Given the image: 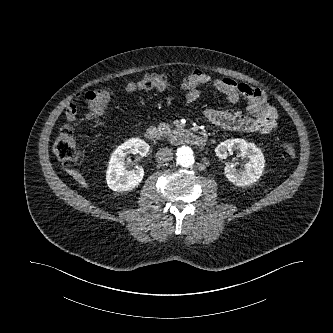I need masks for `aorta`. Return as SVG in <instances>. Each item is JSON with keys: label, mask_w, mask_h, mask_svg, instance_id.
Returning <instances> with one entry per match:
<instances>
[{"label": "aorta", "mask_w": 333, "mask_h": 333, "mask_svg": "<svg viewBox=\"0 0 333 333\" xmlns=\"http://www.w3.org/2000/svg\"><path fill=\"white\" fill-rule=\"evenodd\" d=\"M177 161L183 167H191L195 162L193 151L187 146H181L177 150Z\"/></svg>", "instance_id": "aorta-1"}]
</instances>
